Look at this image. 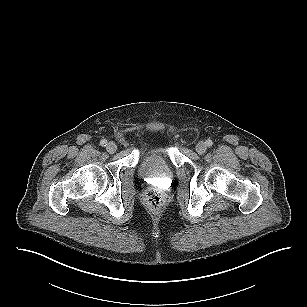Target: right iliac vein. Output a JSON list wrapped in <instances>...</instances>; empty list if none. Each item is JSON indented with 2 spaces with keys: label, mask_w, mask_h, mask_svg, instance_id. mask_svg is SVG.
<instances>
[{
  "label": "right iliac vein",
  "mask_w": 307,
  "mask_h": 307,
  "mask_svg": "<svg viewBox=\"0 0 307 307\" xmlns=\"http://www.w3.org/2000/svg\"><path fill=\"white\" fill-rule=\"evenodd\" d=\"M106 150L109 152V153H114L116 152L117 150V146L114 142H109L106 146Z\"/></svg>",
  "instance_id": "right-iliac-vein-1"
}]
</instances>
